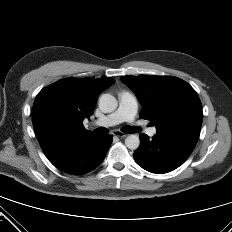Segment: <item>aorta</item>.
Returning <instances> with one entry per match:
<instances>
[{"label": "aorta", "instance_id": "obj_1", "mask_svg": "<svg viewBox=\"0 0 232 232\" xmlns=\"http://www.w3.org/2000/svg\"><path fill=\"white\" fill-rule=\"evenodd\" d=\"M118 102L111 94H103L99 98V108L104 113H110L116 110ZM125 145L131 150H136L140 145L139 137L135 134H131L126 137Z\"/></svg>", "mask_w": 232, "mask_h": 232}]
</instances>
